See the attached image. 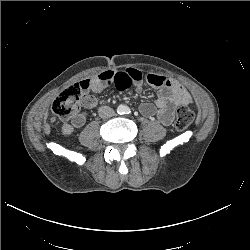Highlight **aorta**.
Segmentation results:
<instances>
[{
  "mask_svg": "<svg viewBox=\"0 0 250 250\" xmlns=\"http://www.w3.org/2000/svg\"><path fill=\"white\" fill-rule=\"evenodd\" d=\"M127 110H128V107L125 105H119L117 107L118 114H125L127 112Z\"/></svg>",
  "mask_w": 250,
  "mask_h": 250,
  "instance_id": "aorta-1",
  "label": "aorta"
}]
</instances>
